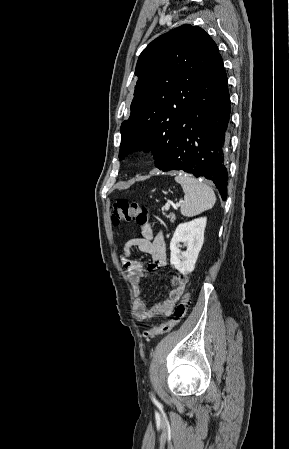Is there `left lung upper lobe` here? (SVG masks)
<instances>
[{
	"mask_svg": "<svg viewBox=\"0 0 289 449\" xmlns=\"http://www.w3.org/2000/svg\"><path fill=\"white\" fill-rule=\"evenodd\" d=\"M218 52L203 29L188 24L159 36L142 51L131 114L120 129L121 160L132 151L151 148L155 164L167 157L174 129Z\"/></svg>",
	"mask_w": 289,
	"mask_h": 449,
	"instance_id": "1",
	"label": "left lung upper lobe"
}]
</instances>
